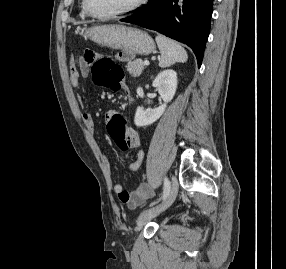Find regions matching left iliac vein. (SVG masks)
Segmentation results:
<instances>
[{
    "mask_svg": "<svg viewBox=\"0 0 286 269\" xmlns=\"http://www.w3.org/2000/svg\"><path fill=\"white\" fill-rule=\"evenodd\" d=\"M178 193V182L175 177L172 178L169 194L162 204L148 209L140 214L137 219V228H141L145 223L158 216L160 213L169 208L174 202Z\"/></svg>",
    "mask_w": 286,
    "mask_h": 269,
    "instance_id": "1",
    "label": "left iliac vein"
}]
</instances>
